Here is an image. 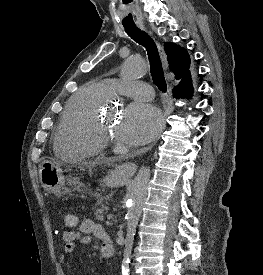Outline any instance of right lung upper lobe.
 I'll return each instance as SVG.
<instances>
[{"label": "right lung upper lobe", "instance_id": "right-lung-upper-lobe-1", "mask_svg": "<svg viewBox=\"0 0 263 275\" xmlns=\"http://www.w3.org/2000/svg\"><path fill=\"white\" fill-rule=\"evenodd\" d=\"M164 49L168 56L170 70L175 74L178 85L183 84L190 72V57L188 52L179 45L168 42L164 43ZM187 89L189 93L193 91L191 84Z\"/></svg>", "mask_w": 263, "mask_h": 275}]
</instances>
